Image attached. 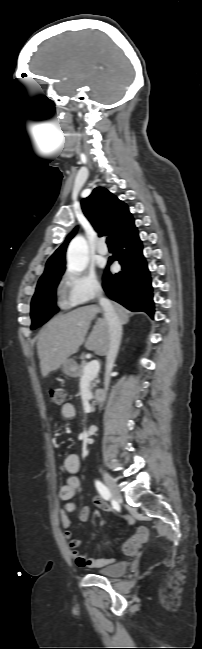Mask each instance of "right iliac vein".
<instances>
[{
  "instance_id": "63e3f726",
  "label": "right iliac vein",
  "mask_w": 202,
  "mask_h": 649,
  "mask_svg": "<svg viewBox=\"0 0 202 649\" xmlns=\"http://www.w3.org/2000/svg\"><path fill=\"white\" fill-rule=\"evenodd\" d=\"M102 476L113 499L116 500L117 502H121L122 496L119 492L115 480L106 472H102Z\"/></svg>"
}]
</instances>
